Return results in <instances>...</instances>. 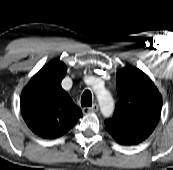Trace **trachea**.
I'll use <instances>...</instances> for the list:
<instances>
[{
  "instance_id": "3493384b",
  "label": "trachea",
  "mask_w": 173,
  "mask_h": 170,
  "mask_svg": "<svg viewBox=\"0 0 173 170\" xmlns=\"http://www.w3.org/2000/svg\"><path fill=\"white\" fill-rule=\"evenodd\" d=\"M81 106L90 107L92 106V94L90 90H85L81 96Z\"/></svg>"
}]
</instances>
